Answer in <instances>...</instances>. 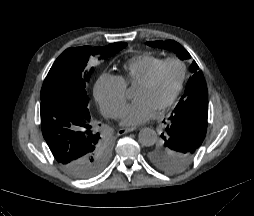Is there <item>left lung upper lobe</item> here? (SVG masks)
I'll use <instances>...</instances> for the list:
<instances>
[{
	"mask_svg": "<svg viewBox=\"0 0 254 216\" xmlns=\"http://www.w3.org/2000/svg\"><path fill=\"white\" fill-rule=\"evenodd\" d=\"M149 46L172 50L180 59L190 54L177 42L149 41ZM195 61L190 66L194 75L189 78L184 95L172 112L162 140L148 151V159L157 168L177 173L187 168L196 156L207 131L208 91ZM165 122V120L163 121Z\"/></svg>",
	"mask_w": 254,
	"mask_h": 216,
	"instance_id": "obj_1",
	"label": "left lung upper lobe"
}]
</instances>
